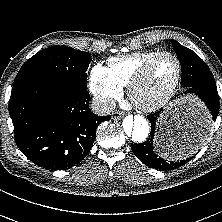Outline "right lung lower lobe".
I'll return each instance as SVG.
<instances>
[{
	"instance_id": "98d812e1",
	"label": "right lung lower lobe",
	"mask_w": 222,
	"mask_h": 222,
	"mask_svg": "<svg viewBox=\"0 0 222 222\" xmlns=\"http://www.w3.org/2000/svg\"><path fill=\"white\" fill-rule=\"evenodd\" d=\"M89 100L86 89L58 79H15L9 113L16 145L29 160L49 170L79 163L90 151L99 123L111 118L92 113Z\"/></svg>"
}]
</instances>
